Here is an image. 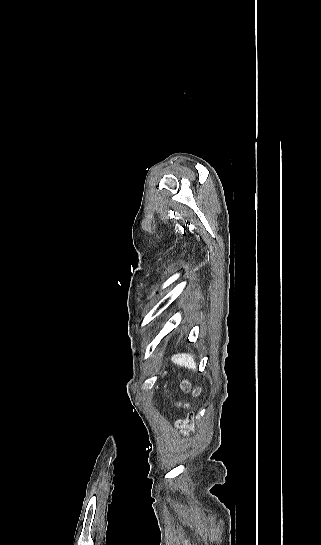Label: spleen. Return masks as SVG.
Returning <instances> with one entry per match:
<instances>
[{
    "instance_id": "obj_1",
    "label": "spleen",
    "mask_w": 321,
    "mask_h": 545,
    "mask_svg": "<svg viewBox=\"0 0 321 545\" xmlns=\"http://www.w3.org/2000/svg\"><path fill=\"white\" fill-rule=\"evenodd\" d=\"M172 361L173 363H176V365H180V367H187V369L196 371V363L192 355H186V353H181V355H173Z\"/></svg>"
}]
</instances>
